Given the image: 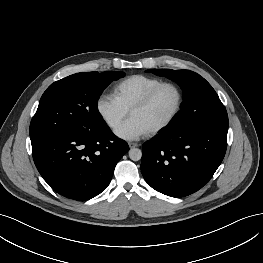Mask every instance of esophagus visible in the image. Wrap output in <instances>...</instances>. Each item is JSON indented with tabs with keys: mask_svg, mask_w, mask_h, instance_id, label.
<instances>
[{
	"mask_svg": "<svg viewBox=\"0 0 263 263\" xmlns=\"http://www.w3.org/2000/svg\"><path fill=\"white\" fill-rule=\"evenodd\" d=\"M128 145H129L130 148H135V147L138 146V144L135 143V142H129Z\"/></svg>",
	"mask_w": 263,
	"mask_h": 263,
	"instance_id": "obj_1",
	"label": "esophagus"
}]
</instances>
